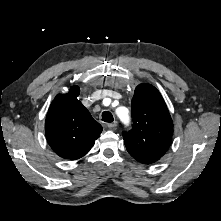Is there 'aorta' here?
<instances>
[{
  "instance_id": "aorta-1",
  "label": "aorta",
  "mask_w": 221,
  "mask_h": 221,
  "mask_svg": "<svg viewBox=\"0 0 221 221\" xmlns=\"http://www.w3.org/2000/svg\"><path fill=\"white\" fill-rule=\"evenodd\" d=\"M117 115L118 117L121 119V121L124 123V124H128L130 122V117L128 114H125L123 109L120 108L117 110Z\"/></svg>"
}]
</instances>
